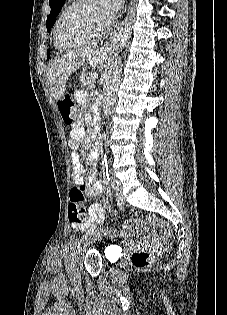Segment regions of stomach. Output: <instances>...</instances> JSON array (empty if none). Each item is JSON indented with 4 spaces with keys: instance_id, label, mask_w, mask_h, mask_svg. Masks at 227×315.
<instances>
[{
    "instance_id": "0dacf381",
    "label": "stomach",
    "mask_w": 227,
    "mask_h": 315,
    "mask_svg": "<svg viewBox=\"0 0 227 315\" xmlns=\"http://www.w3.org/2000/svg\"><path fill=\"white\" fill-rule=\"evenodd\" d=\"M89 61H91L92 63H94V65H96V62L94 61V56H89Z\"/></svg>"
}]
</instances>
